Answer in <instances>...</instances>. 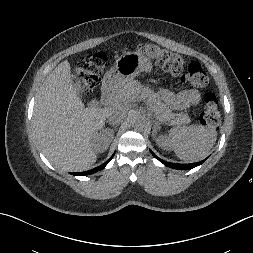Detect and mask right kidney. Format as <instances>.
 Wrapping results in <instances>:
<instances>
[{"instance_id":"ca27d5eb","label":"right kidney","mask_w":253,"mask_h":253,"mask_svg":"<svg viewBox=\"0 0 253 253\" xmlns=\"http://www.w3.org/2000/svg\"><path fill=\"white\" fill-rule=\"evenodd\" d=\"M108 132L109 130H102L93 137V147L96 152H104L109 147L113 134Z\"/></svg>"}]
</instances>
